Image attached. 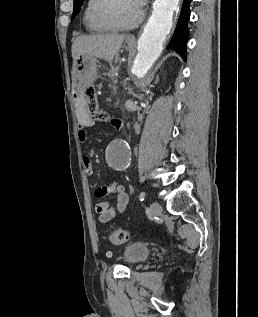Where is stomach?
Listing matches in <instances>:
<instances>
[{
  "instance_id": "stomach-1",
  "label": "stomach",
  "mask_w": 258,
  "mask_h": 317,
  "mask_svg": "<svg viewBox=\"0 0 258 317\" xmlns=\"http://www.w3.org/2000/svg\"><path fill=\"white\" fill-rule=\"evenodd\" d=\"M133 46L134 40L128 36L124 42V48L131 50ZM74 68L77 76H82V74H95L97 70L96 58L91 56V54H78Z\"/></svg>"
}]
</instances>
